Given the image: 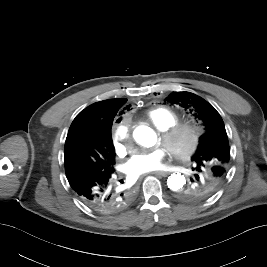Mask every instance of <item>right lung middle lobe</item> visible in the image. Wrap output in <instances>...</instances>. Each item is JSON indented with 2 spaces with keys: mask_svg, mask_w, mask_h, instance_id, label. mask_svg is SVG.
Returning a JSON list of instances; mask_svg holds the SVG:
<instances>
[{
  "mask_svg": "<svg viewBox=\"0 0 267 267\" xmlns=\"http://www.w3.org/2000/svg\"><path fill=\"white\" fill-rule=\"evenodd\" d=\"M115 164L111 131L102 139L93 131L78 125L69 129L65 142V172L67 179L90 170L107 171Z\"/></svg>",
  "mask_w": 267,
  "mask_h": 267,
  "instance_id": "obj_1",
  "label": "right lung middle lobe"
}]
</instances>
